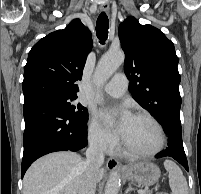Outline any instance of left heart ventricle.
Here are the masks:
<instances>
[{"mask_svg": "<svg viewBox=\"0 0 201 194\" xmlns=\"http://www.w3.org/2000/svg\"><path fill=\"white\" fill-rule=\"evenodd\" d=\"M124 140L133 149L151 151L159 144V133L149 120L133 116Z\"/></svg>", "mask_w": 201, "mask_h": 194, "instance_id": "1", "label": "left heart ventricle"}]
</instances>
